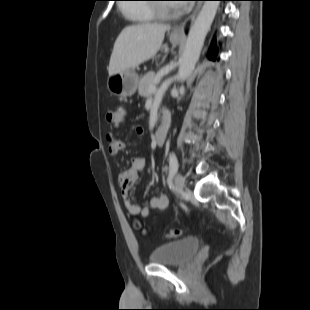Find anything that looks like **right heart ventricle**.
Returning a JSON list of instances; mask_svg holds the SVG:
<instances>
[{
  "mask_svg": "<svg viewBox=\"0 0 310 310\" xmlns=\"http://www.w3.org/2000/svg\"><path fill=\"white\" fill-rule=\"evenodd\" d=\"M124 14L131 20L137 23H149L156 19V14L152 6H125L123 7Z\"/></svg>",
  "mask_w": 310,
  "mask_h": 310,
  "instance_id": "e07e8e85",
  "label": "right heart ventricle"
}]
</instances>
